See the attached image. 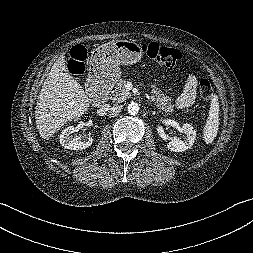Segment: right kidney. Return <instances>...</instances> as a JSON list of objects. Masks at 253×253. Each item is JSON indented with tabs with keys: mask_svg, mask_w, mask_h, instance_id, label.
<instances>
[{
	"mask_svg": "<svg viewBox=\"0 0 253 253\" xmlns=\"http://www.w3.org/2000/svg\"><path fill=\"white\" fill-rule=\"evenodd\" d=\"M76 129L73 126H68L65 128L61 135H60V144L66 148V149H71V150H82L86 149L89 147L93 139L92 137L88 136H83V137H71V134L74 133Z\"/></svg>",
	"mask_w": 253,
	"mask_h": 253,
	"instance_id": "1",
	"label": "right kidney"
}]
</instances>
